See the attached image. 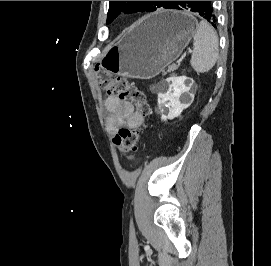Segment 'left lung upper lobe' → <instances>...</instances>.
I'll use <instances>...</instances> for the list:
<instances>
[{"instance_id": "left-lung-upper-lobe-1", "label": "left lung upper lobe", "mask_w": 271, "mask_h": 266, "mask_svg": "<svg viewBox=\"0 0 271 266\" xmlns=\"http://www.w3.org/2000/svg\"><path fill=\"white\" fill-rule=\"evenodd\" d=\"M171 3L172 1H109V10L106 23H111L121 12H152L158 8L167 9Z\"/></svg>"}]
</instances>
